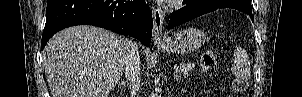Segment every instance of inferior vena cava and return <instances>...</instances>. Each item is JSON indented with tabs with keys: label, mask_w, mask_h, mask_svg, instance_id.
<instances>
[{
	"label": "inferior vena cava",
	"mask_w": 302,
	"mask_h": 97,
	"mask_svg": "<svg viewBox=\"0 0 302 97\" xmlns=\"http://www.w3.org/2000/svg\"><path fill=\"white\" fill-rule=\"evenodd\" d=\"M124 71L131 90V95L134 97L138 92L141 83V68L138 46L132 39L126 40Z\"/></svg>",
	"instance_id": "1"
}]
</instances>
